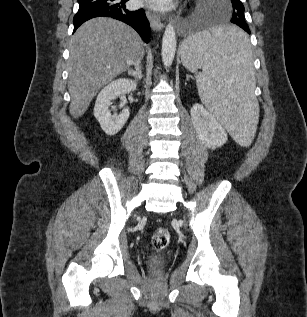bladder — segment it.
Instances as JSON below:
<instances>
[{
	"label": "bladder",
	"mask_w": 307,
	"mask_h": 317,
	"mask_svg": "<svg viewBox=\"0 0 307 317\" xmlns=\"http://www.w3.org/2000/svg\"><path fill=\"white\" fill-rule=\"evenodd\" d=\"M146 264L152 269H160L167 264V258L163 255H154L147 260Z\"/></svg>",
	"instance_id": "31cf9c89"
}]
</instances>
